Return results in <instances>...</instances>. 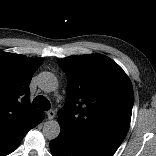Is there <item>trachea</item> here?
I'll return each instance as SVG.
<instances>
[{"mask_svg": "<svg viewBox=\"0 0 156 156\" xmlns=\"http://www.w3.org/2000/svg\"><path fill=\"white\" fill-rule=\"evenodd\" d=\"M33 105L44 111L49 110L51 106L49 100L46 99L44 96H37L33 101Z\"/></svg>", "mask_w": 156, "mask_h": 156, "instance_id": "3493384b", "label": "trachea"}]
</instances>
